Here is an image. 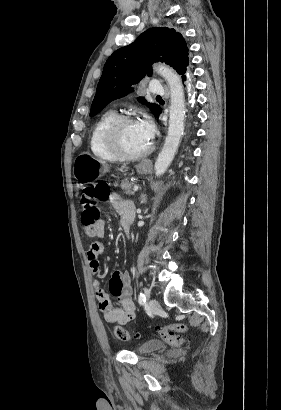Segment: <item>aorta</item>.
<instances>
[{
  "label": "aorta",
  "instance_id": "1",
  "mask_svg": "<svg viewBox=\"0 0 281 410\" xmlns=\"http://www.w3.org/2000/svg\"><path fill=\"white\" fill-rule=\"evenodd\" d=\"M155 71L166 80L170 88L168 134L154 166L155 175L160 177L171 164L184 132L185 97L181 79L172 68L166 65H157Z\"/></svg>",
  "mask_w": 281,
  "mask_h": 410
}]
</instances>
